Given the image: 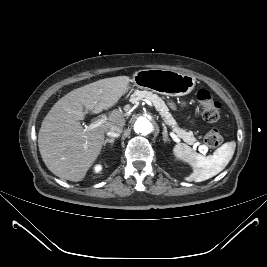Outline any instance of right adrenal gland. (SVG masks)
<instances>
[{
  "label": "right adrenal gland",
  "mask_w": 267,
  "mask_h": 267,
  "mask_svg": "<svg viewBox=\"0 0 267 267\" xmlns=\"http://www.w3.org/2000/svg\"><path fill=\"white\" fill-rule=\"evenodd\" d=\"M114 141H115V138H107L104 141L103 145H104V147L106 146L107 143H110L111 145H113Z\"/></svg>",
  "instance_id": "2a0ac1e0"
}]
</instances>
